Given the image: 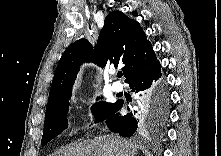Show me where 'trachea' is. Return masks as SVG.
Segmentation results:
<instances>
[{
	"instance_id": "1",
	"label": "trachea",
	"mask_w": 221,
	"mask_h": 156,
	"mask_svg": "<svg viewBox=\"0 0 221 156\" xmlns=\"http://www.w3.org/2000/svg\"><path fill=\"white\" fill-rule=\"evenodd\" d=\"M122 75H123L122 72H118V73H117L118 78H121Z\"/></svg>"
}]
</instances>
